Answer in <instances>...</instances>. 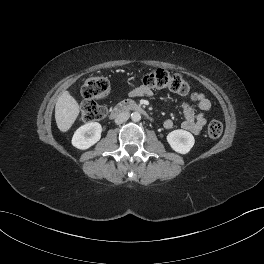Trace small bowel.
I'll list each match as a JSON object with an SVG mask.
<instances>
[{"label":"small bowel","instance_id":"small-bowel-1","mask_svg":"<svg viewBox=\"0 0 264 264\" xmlns=\"http://www.w3.org/2000/svg\"><path fill=\"white\" fill-rule=\"evenodd\" d=\"M151 94L150 89L144 86H138L130 91L131 97H142L148 96ZM197 103L199 107V112L196 113L195 110L188 104H183V121H182V128L198 135L202 131L203 127L206 124V116L208 111L211 108V103L209 99L202 93L198 94L197 96ZM165 129H171L173 127V121L167 119L164 122Z\"/></svg>","mask_w":264,"mask_h":264}]
</instances>
